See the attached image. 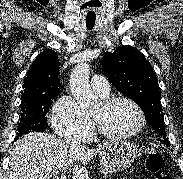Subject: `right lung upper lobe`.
Masks as SVG:
<instances>
[{"label":"right lung upper lobe","mask_w":183,"mask_h":179,"mask_svg":"<svg viewBox=\"0 0 183 179\" xmlns=\"http://www.w3.org/2000/svg\"><path fill=\"white\" fill-rule=\"evenodd\" d=\"M59 64L53 49L45 50L36 57L24 78L21 103L59 93Z\"/></svg>","instance_id":"cb5924a9"}]
</instances>
